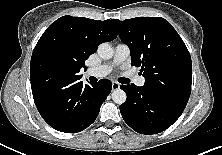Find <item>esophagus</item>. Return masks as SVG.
Returning <instances> with one entry per match:
<instances>
[{
  "mask_svg": "<svg viewBox=\"0 0 222 155\" xmlns=\"http://www.w3.org/2000/svg\"><path fill=\"white\" fill-rule=\"evenodd\" d=\"M120 88V84L118 82H112V90H117Z\"/></svg>",
  "mask_w": 222,
  "mask_h": 155,
  "instance_id": "1",
  "label": "esophagus"
}]
</instances>
